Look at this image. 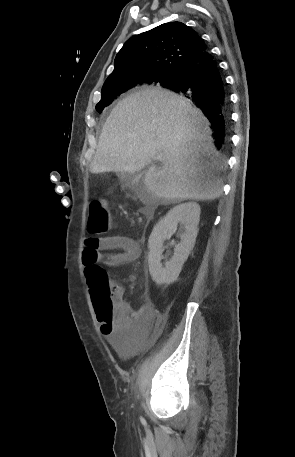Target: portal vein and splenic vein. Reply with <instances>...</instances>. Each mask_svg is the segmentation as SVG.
<instances>
[{
	"label": "portal vein and splenic vein",
	"instance_id": "1",
	"mask_svg": "<svg viewBox=\"0 0 295 457\" xmlns=\"http://www.w3.org/2000/svg\"><path fill=\"white\" fill-rule=\"evenodd\" d=\"M156 159L159 160V161H162V160H163V157L160 155V156H158Z\"/></svg>",
	"mask_w": 295,
	"mask_h": 457
}]
</instances>
